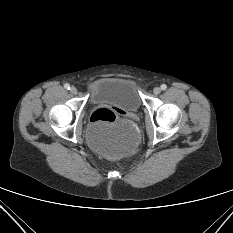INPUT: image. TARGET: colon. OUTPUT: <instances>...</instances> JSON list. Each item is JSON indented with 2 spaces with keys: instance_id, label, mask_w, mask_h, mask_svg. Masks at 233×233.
<instances>
[{
  "instance_id": "obj_1",
  "label": "colon",
  "mask_w": 233,
  "mask_h": 233,
  "mask_svg": "<svg viewBox=\"0 0 233 233\" xmlns=\"http://www.w3.org/2000/svg\"><path fill=\"white\" fill-rule=\"evenodd\" d=\"M115 112L108 108H100L91 115V122L93 124H111L115 121Z\"/></svg>"
}]
</instances>
